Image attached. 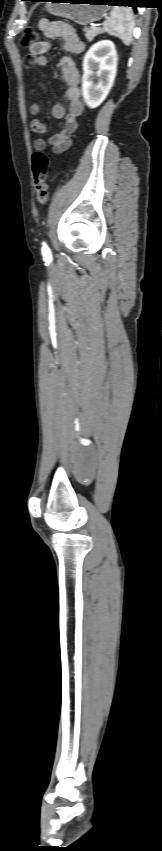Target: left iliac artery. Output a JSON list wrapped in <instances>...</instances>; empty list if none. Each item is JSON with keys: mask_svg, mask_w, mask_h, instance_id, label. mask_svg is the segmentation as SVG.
Returning <instances> with one entry per match:
<instances>
[{"mask_svg": "<svg viewBox=\"0 0 162 851\" xmlns=\"http://www.w3.org/2000/svg\"><path fill=\"white\" fill-rule=\"evenodd\" d=\"M42 245H43V246H42V255H43L45 258H50V257H51V252H50V250H49L48 246L46 245V243H45V242H43V243H42Z\"/></svg>", "mask_w": 162, "mask_h": 851, "instance_id": "left-iliac-artery-1", "label": "left iliac artery"}]
</instances>
